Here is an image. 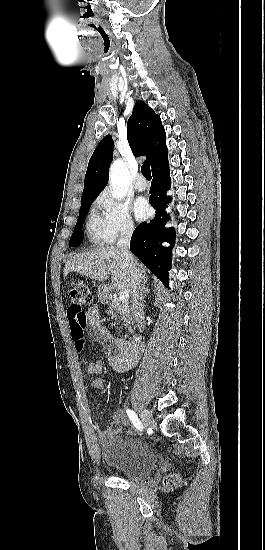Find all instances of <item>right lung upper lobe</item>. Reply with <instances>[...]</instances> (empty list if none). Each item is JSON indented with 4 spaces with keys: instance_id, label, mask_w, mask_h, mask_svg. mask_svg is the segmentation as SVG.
<instances>
[{
    "instance_id": "obj_1",
    "label": "right lung upper lobe",
    "mask_w": 265,
    "mask_h": 550,
    "mask_svg": "<svg viewBox=\"0 0 265 550\" xmlns=\"http://www.w3.org/2000/svg\"><path fill=\"white\" fill-rule=\"evenodd\" d=\"M127 139L134 155H147L145 163H149L152 169L168 155L166 133L161 119L143 101L135 103L127 122ZM112 158L113 140L107 135L97 145L89 160L81 199L96 198L105 188Z\"/></svg>"
}]
</instances>
